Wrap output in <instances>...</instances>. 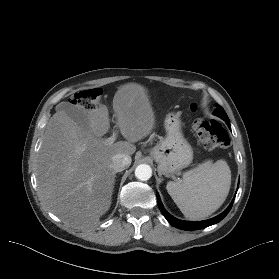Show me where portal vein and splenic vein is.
<instances>
[{
  "label": "portal vein and splenic vein",
  "mask_w": 279,
  "mask_h": 279,
  "mask_svg": "<svg viewBox=\"0 0 279 279\" xmlns=\"http://www.w3.org/2000/svg\"><path fill=\"white\" fill-rule=\"evenodd\" d=\"M116 135L117 134L114 132L113 135L107 139V143H113L116 140Z\"/></svg>",
  "instance_id": "portal-vein-and-splenic-vein-1"
}]
</instances>
